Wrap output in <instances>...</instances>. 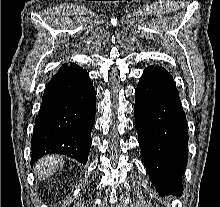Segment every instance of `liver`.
Returning a JSON list of instances; mask_svg holds the SVG:
<instances>
[{
	"label": "liver",
	"mask_w": 220,
	"mask_h": 207,
	"mask_svg": "<svg viewBox=\"0 0 220 207\" xmlns=\"http://www.w3.org/2000/svg\"><path fill=\"white\" fill-rule=\"evenodd\" d=\"M63 164L64 159L62 156H44L36 162L34 166V172L36 175H38L39 180H44L49 176L53 175Z\"/></svg>",
	"instance_id": "1"
}]
</instances>
